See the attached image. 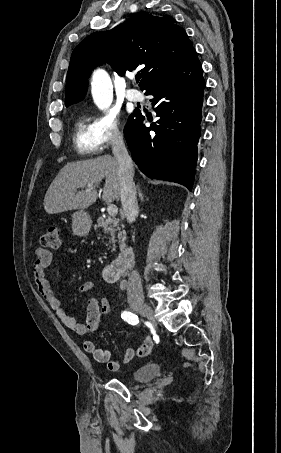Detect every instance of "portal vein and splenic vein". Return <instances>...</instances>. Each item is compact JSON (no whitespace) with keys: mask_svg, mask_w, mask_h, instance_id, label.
Masks as SVG:
<instances>
[{"mask_svg":"<svg viewBox=\"0 0 281 453\" xmlns=\"http://www.w3.org/2000/svg\"><path fill=\"white\" fill-rule=\"evenodd\" d=\"M88 188H93L92 184H89ZM107 212H108L109 216H116V214L118 212V208H117V206H115V204H108Z\"/></svg>","mask_w":281,"mask_h":453,"instance_id":"portal-vein-and-splenic-vein-1","label":"portal vein and splenic vein"}]
</instances>
